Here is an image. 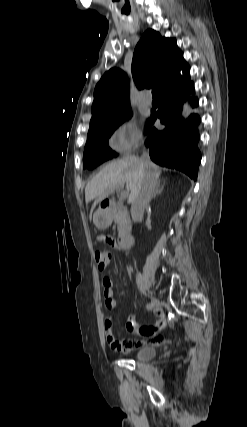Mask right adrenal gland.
<instances>
[{
    "instance_id": "obj_1",
    "label": "right adrenal gland",
    "mask_w": 247,
    "mask_h": 427,
    "mask_svg": "<svg viewBox=\"0 0 247 427\" xmlns=\"http://www.w3.org/2000/svg\"><path fill=\"white\" fill-rule=\"evenodd\" d=\"M163 189H164V185L160 186V182H159V183L157 184L156 191H155L154 195L152 196V198H156V196H157L158 194H160V193L163 191Z\"/></svg>"
}]
</instances>
